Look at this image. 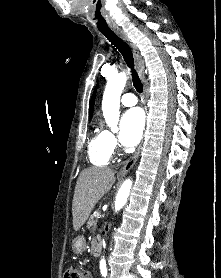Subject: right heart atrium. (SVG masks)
<instances>
[{
	"mask_svg": "<svg viewBox=\"0 0 221 278\" xmlns=\"http://www.w3.org/2000/svg\"><path fill=\"white\" fill-rule=\"evenodd\" d=\"M105 133H106V137H107V140H108V143H109L111 149L114 150L117 146V141H116L115 136L110 131H105Z\"/></svg>",
	"mask_w": 221,
	"mask_h": 278,
	"instance_id": "d8ad5b80",
	"label": "right heart atrium"
}]
</instances>
